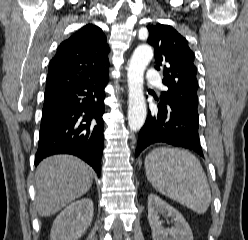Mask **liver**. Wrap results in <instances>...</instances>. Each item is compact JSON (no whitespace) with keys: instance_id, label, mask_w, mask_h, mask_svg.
Here are the masks:
<instances>
[{"instance_id":"obj_1","label":"liver","mask_w":248,"mask_h":240,"mask_svg":"<svg viewBox=\"0 0 248 240\" xmlns=\"http://www.w3.org/2000/svg\"><path fill=\"white\" fill-rule=\"evenodd\" d=\"M35 179L38 214L48 217L90 189L93 170L77 157L55 155L38 165Z\"/></svg>"}]
</instances>
